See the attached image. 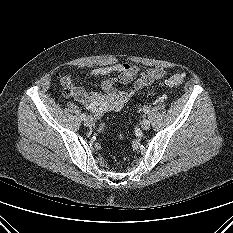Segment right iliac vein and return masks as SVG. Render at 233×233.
<instances>
[{"mask_svg":"<svg viewBox=\"0 0 233 233\" xmlns=\"http://www.w3.org/2000/svg\"><path fill=\"white\" fill-rule=\"evenodd\" d=\"M84 124L86 126H92L93 125V119L91 117H87L85 120H84Z\"/></svg>","mask_w":233,"mask_h":233,"instance_id":"right-iliac-vein-1","label":"right iliac vein"}]
</instances>
